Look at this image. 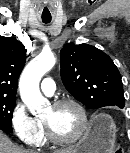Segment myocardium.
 <instances>
[{"instance_id": "obj_1", "label": "myocardium", "mask_w": 130, "mask_h": 153, "mask_svg": "<svg viewBox=\"0 0 130 153\" xmlns=\"http://www.w3.org/2000/svg\"><path fill=\"white\" fill-rule=\"evenodd\" d=\"M63 105L74 106L80 115V119H81L80 128H79L78 132L73 137L65 138V137L58 136L55 133V131L53 130L51 124L45 119H43V124L46 129L48 137L54 143L60 144V145L74 144V143L78 142L85 135V133L88 129V124H89L88 115H87V112H86V109L84 108V106L79 101H77L76 99H73V98H61V99L56 100L52 104V106L54 108H58Z\"/></svg>"}]
</instances>
